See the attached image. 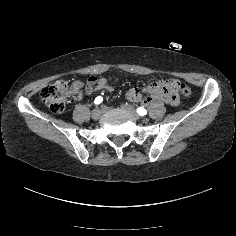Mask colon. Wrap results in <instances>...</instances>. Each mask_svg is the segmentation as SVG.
Instances as JSON below:
<instances>
[{"label": "colon", "instance_id": "1", "mask_svg": "<svg viewBox=\"0 0 236 236\" xmlns=\"http://www.w3.org/2000/svg\"><path fill=\"white\" fill-rule=\"evenodd\" d=\"M173 82L184 98L191 95V90L186 84L178 81ZM71 89L72 85L70 83L65 80H58L43 88L40 93V98L51 112L60 114L65 109L66 99Z\"/></svg>", "mask_w": 236, "mask_h": 236}]
</instances>
